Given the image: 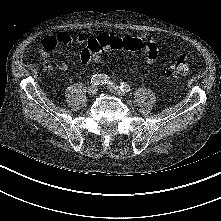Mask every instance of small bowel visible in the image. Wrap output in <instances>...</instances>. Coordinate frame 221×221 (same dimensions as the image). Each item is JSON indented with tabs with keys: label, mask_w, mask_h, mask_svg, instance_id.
I'll return each instance as SVG.
<instances>
[{
	"label": "small bowel",
	"mask_w": 221,
	"mask_h": 221,
	"mask_svg": "<svg viewBox=\"0 0 221 221\" xmlns=\"http://www.w3.org/2000/svg\"><path fill=\"white\" fill-rule=\"evenodd\" d=\"M74 41L78 45H85L88 43L89 38L87 36L81 35V36L76 37ZM72 43H73V39L67 34H59L57 36L45 37L42 41V46L39 49V54L43 58H45V60L43 62V67L46 70H52L54 67L58 68L61 71L67 70L68 63L66 61L56 62V61L50 59V56H51V52L53 50H55L59 44L70 45ZM145 43H146L145 50H144L145 62L148 65H153L156 63L157 58H158L157 46L152 39H146ZM80 57H81V55H80ZM83 62L90 63L91 60H87V61H83Z\"/></svg>",
	"instance_id": "c3829d8e"
}]
</instances>
